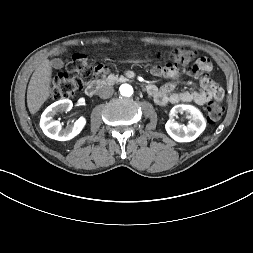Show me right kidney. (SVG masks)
Wrapping results in <instances>:
<instances>
[{
  "label": "right kidney",
  "instance_id": "obj_1",
  "mask_svg": "<svg viewBox=\"0 0 253 253\" xmlns=\"http://www.w3.org/2000/svg\"><path fill=\"white\" fill-rule=\"evenodd\" d=\"M72 107L71 100L63 99L46 108L40 119V127L46 136L58 141H67L81 132L86 124V119L83 116L76 120L73 125H69L66 128H62L59 121L53 120L55 114L69 111Z\"/></svg>",
  "mask_w": 253,
  "mask_h": 253
}]
</instances>
